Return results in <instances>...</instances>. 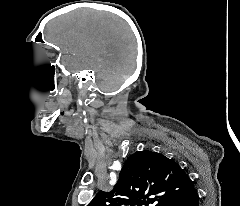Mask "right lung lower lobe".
<instances>
[{"instance_id":"obj_1","label":"right lung lower lobe","mask_w":240,"mask_h":206,"mask_svg":"<svg viewBox=\"0 0 240 206\" xmlns=\"http://www.w3.org/2000/svg\"><path fill=\"white\" fill-rule=\"evenodd\" d=\"M166 206H199V196L195 188L191 189L187 194L171 201Z\"/></svg>"}]
</instances>
